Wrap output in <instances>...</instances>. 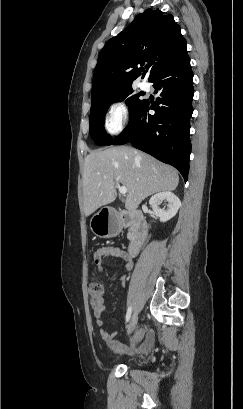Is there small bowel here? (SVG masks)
Here are the masks:
<instances>
[{
	"mask_svg": "<svg viewBox=\"0 0 243 409\" xmlns=\"http://www.w3.org/2000/svg\"><path fill=\"white\" fill-rule=\"evenodd\" d=\"M106 258H116L124 261L123 268L129 271L133 268V262L129 254L124 250L113 247V246H102L99 247L93 256L94 265L97 268L98 273L103 272L102 263ZM121 283H125L126 277H120ZM105 307L102 305L101 308L95 309L94 316L95 322L98 327H103L104 319L103 314ZM146 332L144 329H140L134 338V343L132 345H124L119 343L114 339L115 333H110L104 329L100 331V335L104 341L107 342L109 350L113 353H128L130 355H142L146 353H151L156 345V338L152 331L147 332L146 338L144 339Z\"/></svg>",
	"mask_w": 243,
	"mask_h": 409,
	"instance_id": "c3829d8e",
	"label": "small bowel"
}]
</instances>
